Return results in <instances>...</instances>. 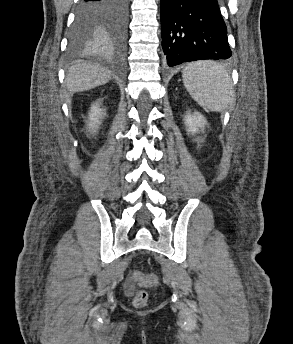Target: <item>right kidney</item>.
Returning a JSON list of instances; mask_svg holds the SVG:
<instances>
[{
	"instance_id": "ca27d5eb",
	"label": "right kidney",
	"mask_w": 293,
	"mask_h": 344,
	"mask_svg": "<svg viewBox=\"0 0 293 344\" xmlns=\"http://www.w3.org/2000/svg\"><path fill=\"white\" fill-rule=\"evenodd\" d=\"M103 116L104 112L103 109L100 108V104L98 102L92 104L87 121V128L90 130V132H96L98 126L101 124V119Z\"/></svg>"
}]
</instances>
